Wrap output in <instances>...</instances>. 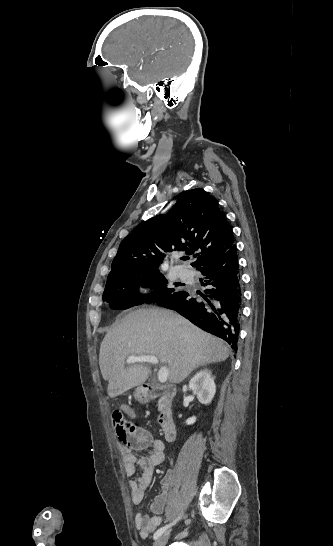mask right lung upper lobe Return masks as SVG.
<instances>
[{"label": "right lung upper lobe", "mask_w": 333, "mask_h": 546, "mask_svg": "<svg viewBox=\"0 0 333 546\" xmlns=\"http://www.w3.org/2000/svg\"><path fill=\"white\" fill-rule=\"evenodd\" d=\"M234 246V236L217 200L201 188L183 192L167 213L140 223L121 242L112 270H158L164 252L199 248L192 266L197 270Z\"/></svg>", "instance_id": "obj_1"}]
</instances>
